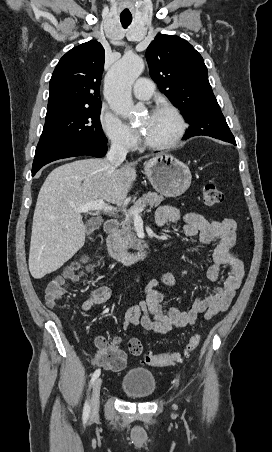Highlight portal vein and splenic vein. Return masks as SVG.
Here are the masks:
<instances>
[{
  "mask_svg": "<svg viewBox=\"0 0 272 452\" xmlns=\"http://www.w3.org/2000/svg\"><path fill=\"white\" fill-rule=\"evenodd\" d=\"M144 208H145V206H142L139 208H131L128 210V213L132 214L134 219H139L140 218L139 214H140V212H142L144 210ZM77 210L79 212H88L90 210H93V211H104V212H109V213L118 211L117 208L109 206L102 199H99V200H96L93 202H88L85 205L79 207Z\"/></svg>",
  "mask_w": 272,
  "mask_h": 452,
  "instance_id": "obj_1",
  "label": "portal vein and splenic vein"
}]
</instances>
